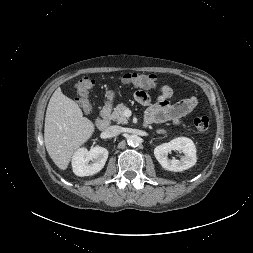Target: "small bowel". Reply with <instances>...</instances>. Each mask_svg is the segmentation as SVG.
Segmentation results:
<instances>
[{
  "instance_id": "1",
  "label": "small bowel",
  "mask_w": 253,
  "mask_h": 253,
  "mask_svg": "<svg viewBox=\"0 0 253 253\" xmlns=\"http://www.w3.org/2000/svg\"><path fill=\"white\" fill-rule=\"evenodd\" d=\"M172 95V88L168 85H163L159 88L157 102L151 104L150 96L144 90H138L135 92V100L138 103L147 106L145 114V122L147 124H161L167 121L179 124L187 118L197 106V99L194 96H190L172 104L169 101Z\"/></svg>"
}]
</instances>
